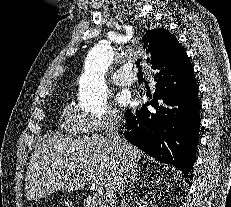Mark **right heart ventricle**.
Wrapping results in <instances>:
<instances>
[{
  "label": "right heart ventricle",
  "mask_w": 231,
  "mask_h": 207,
  "mask_svg": "<svg viewBox=\"0 0 231 207\" xmlns=\"http://www.w3.org/2000/svg\"><path fill=\"white\" fill-rule=\"evenodd\" d=\"M61 130L68 135L81 137L89 132L86 115L83 114L72 102L64 105L61 111Z\"/></svg>",
  "instance_id": "e07e8e85"
}]
</instances>
